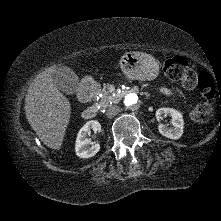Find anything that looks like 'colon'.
I'll list each match as a JSON object with an SVG mask.
<instances>
[{
    "mask_svg": "<svg viewBox=\"0 0 221 221\" xmlns=\"http://www.w3.org/2000/svg\"><path fill=\"white\" fill-rule=\"evenodd\" d=\"M163 71L168 78L180 82L185 89H198L203 101L191 109L190 117L196 122H207L212 116V100L215 96V84L210 74L205 71L196 73L181 56L168 59Z\"/></svg>",
    "mask_w": 221,
    "mask_h": 221,
    "instance_id": "obj_1",
    "label": "colon"
}]
</instances>
